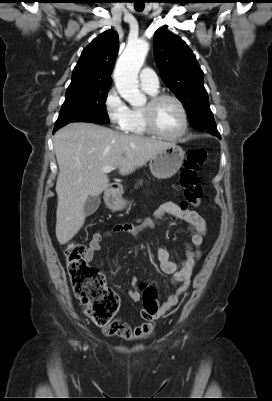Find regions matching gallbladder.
<instances>
[{
  "mask_svg": "<svg viewBox=\"0 0 272 401\" xmlns=\"http://www.w3.org/2000/svg\"><path fill=\"white\" fill-rule=\"evenodd\" d=\"M100 202L99 196H89L84 204V214L86 216L93 214L99 208Z\"/></svg>",
  "mask_w": 272,
  "mask_h": 401,
  "instance_id": "1",
  "label": "gallbladder"
}]
</instances>
